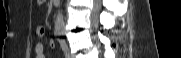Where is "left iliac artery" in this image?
<instances>
[{
  "instance_id": "left-iliac-artery-1",
  "label": "left iliac artery",
  "mask_w": 181,
  "mask_h": 58,
  "mask_svg": "<svg viewBox=\"0 0 181 58\" xmlns=\"http://www.w3.org/2000/svg\"><path fill=\"white\" fill-rule=\"evenodd\" d=\"M60 45L62 47L63 50H66V44H65V41L64 40H60Z\"/></svg>"
}]
</instances>
